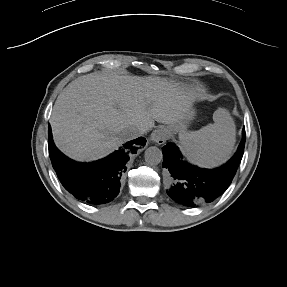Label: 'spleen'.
Wrapping results in <instances>:
<instances>
[{"label": "spleen", "instance_id": "spleen-1", "mask_svg": "<svg viewBox=\"0 0 287 287\" xmlns=\"http://www.w3.org/2000/svg\"><path fill=\"white\" fill-rule=\"evenodd\" d=\"M213 124L197 131L179 134L180 147L187 159L205 168L217 167L232 155L236 142V126L225 108L213 114Z\"/></svg>", "mask_w": 287, "mask_h": 287}]
</instances>
